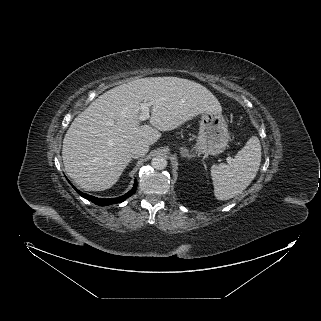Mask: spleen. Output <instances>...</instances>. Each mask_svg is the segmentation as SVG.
Masks as SVG:
<instances>
[{"label":"spleen","mask_w":321,"mask_h":321,"mask_svg":"<svg viewBox=\"0 0 321 321\" xmlns=\"http://www.w3.org/2000/svg\"><path fill=\"white\" fill-rule=\"evenodd\" d=\"M261 162V145L252 136L230 164H214L211 176L214 195L218 200H229L245 190L255 178Z\"/></svg>","instance_id":"spleen-1"}]
</instances>
